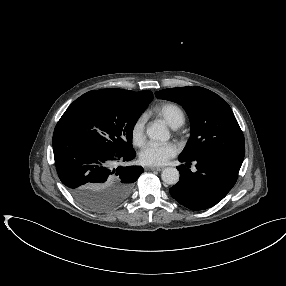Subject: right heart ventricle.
<instances>
[{"label": "right heart ventricle", "mask_w": 286, "mask_h": 286, "mask_svg": "<svg viewBox=\"0 0 286 286\" xmlns=\"http://www.w3.org/2000/svg\"><path fill=\"white\" fill-rule=\"evenodd\" d=\"M155 113L173 128H178L185 123V113L177 104H161L155 109Z\"/></svg>", "instance_id": "right-heart-ventricle-1"}]
</instances>
